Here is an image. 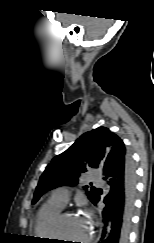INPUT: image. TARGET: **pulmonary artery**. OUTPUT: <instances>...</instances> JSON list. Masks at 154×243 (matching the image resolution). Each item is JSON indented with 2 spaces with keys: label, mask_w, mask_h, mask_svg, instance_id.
<instances>
[{
  "label": "pulmonary artery",
  "mask_w": 154,
  "mask_h": 243,
  "mask_svg": "<svg viewBox=\"0 0 154 243\" xmlns=\"http://www.w3.org/2000/svg\"><path fill=\"white\" fill-rule=\"evenodd\" d=\"M91 178L94 181H96L99 185L103 183V181L96 175H92ZM69 197V190L66 187H59L51 193L50 200L64 208L69 201Z\"/></svg>",
  "instance_id": "e3ab8cb5"
}]
</instances>
